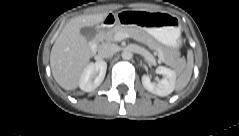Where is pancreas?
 <instances>
[{"mask_svg": "<svg viewBox=\"0 0 239 136\" xmlns=\"http://www.w3.org/2000/svg\"><path fill=\"white\" fill-rule=\"evenodd\" d=\"M119 32L132 35L137 39L142 40L151 49H155L160 54H163V48L138 27L116 25L113 28L109 29L106 33L102 34L100 38L101 40H104L106 42H116L117 40L115 36ZM165 62L166 64L170 65V62L168 60H166Z\"/></svg>", "mask_w": 239, "mask_h": 136, "instance_id": "obj_1", "label": "pancreas"}]
</instances>
